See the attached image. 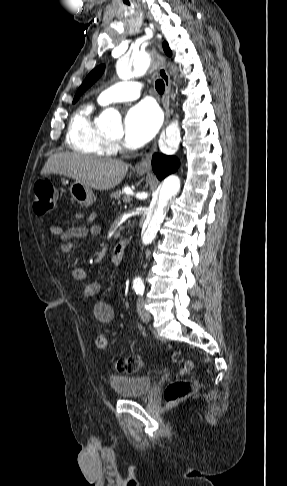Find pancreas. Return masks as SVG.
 Instances as JSON below:
<instances>
[{"label":"pancreas","instance_id":"pancreas-1","mask_svg":"<svg viewBox=\"0 0 287 486\" xmlns=\"http://www.w3.org/2000/svg\"><path fill=\"white\" fill-rule=\"evenodd\" d=\"M121 194H122L121 190H116L110 194V198L113 199V202L119 201Z\"/></svg>","mask_w":287,"mask_h":486}]
</instances>
